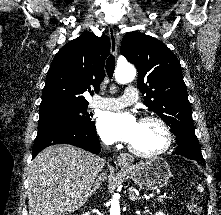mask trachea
<instances>
[{
	"label": "trachea",
	"mask_w": 221,
	"mask_h": 215,
	"mask_svg": "<svg viewBox=\"0 0 221 215\" xmlns=\"http://www.w3.org/2000/svg\"><path fill=\"white\" fill-rule=\"evenodd\" d=\"M106 72L107 75L112 78L113 77V73H114V69H115V57L113 55H110L106 61Z\"/></svg>",
	"instance_id": "3493384b"
}]
</instances>
